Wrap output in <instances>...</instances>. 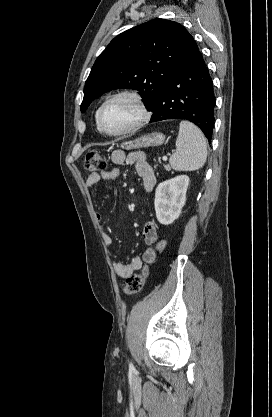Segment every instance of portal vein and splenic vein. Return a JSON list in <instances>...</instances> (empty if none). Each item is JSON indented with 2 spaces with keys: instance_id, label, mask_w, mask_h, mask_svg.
Here are the masks:
<instances>
[{
  "instance_id": "portal-vein-and-splenic-vein-1",
  "label": "portal vein and splenic vein",
  "mask_w": 272,
  "mask_h": 417,
  "mask_svg": "<svg viewBox=\"0 0 272 417\" xmlns=\"http://www.w3.org/2000/svg\"><path fill=\"white\" fill-rule=\"evenodd\" d=\"M162 159H163V161H166V160H167V156H166V155H164V156L162 157Z\"/></svg>"
}]
</instances>
